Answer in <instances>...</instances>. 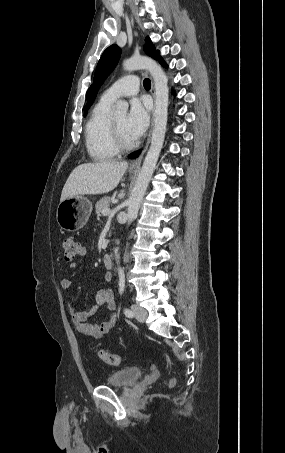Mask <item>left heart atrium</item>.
I'll return each mask as SVG.
<instances>
[{
  "instance_id": "1",
  "label": "left heart atrium",
  "mask_w": 285,
  "mask_h": 453,
  "mask_svg": "<svg viewBox=\"0 0 285 453\" xmlns=\"http://www.w3.org/2000/svg\"><path fill=\"white\" fill-rule=\"evenodd\" d=\"M149 124V108L146 102L134 99L126 119V128L133 139L140 138Z\"/></svg>"
}]
</instances>
